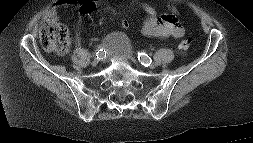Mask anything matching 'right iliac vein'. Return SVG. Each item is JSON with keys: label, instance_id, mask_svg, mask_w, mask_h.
Returning <instances> with one entry per match:
<instances>
[{"label": "right iliac vein", "instance_id": "obj_1", "mask_svg": "<svg viewBox=\"0 0 253 143\" xmlns=\"http://www.w3.org/2000/svg\"><path fill=\"white\" fill-rule=\"evenodd\" d=\"M98 64V60L95 58L93 61H92V65L93 66H96Z\"/></svg>", "mask_w": 253, "mask_h": 143}]
</instances>
